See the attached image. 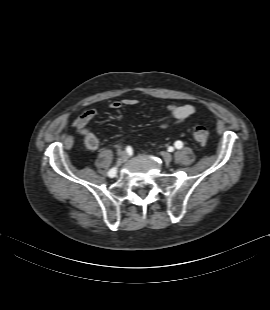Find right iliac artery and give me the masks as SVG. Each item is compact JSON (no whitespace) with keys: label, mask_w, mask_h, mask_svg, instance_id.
Returning a JSON list of instances; mask_svg holds the SVG:
<instances>
[{"label":"right iliac artery","mask_w":270,"mask_h":310,"mask_svg":"<svg viewBox=\"0 0 270 310\" xmlns=\"http://www.w3.org/2000/svg\"><path fill=\"white\" fill-rule=\"evenodd\" d=\"M115 174H116V168H112V169L108 172L109 177H114Z\"/></svg>","instance_id":"1"}]
</instances>
